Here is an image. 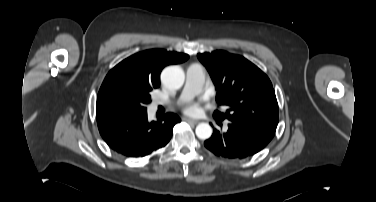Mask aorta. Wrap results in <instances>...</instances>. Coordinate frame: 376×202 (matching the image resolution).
Here are the masks:
<instances>
[{"label":"aorta","mask_w":376,"mask_h":202,"mask_svg":"<svg viewBox=\"0 0 376 202\" xmlns=\"http://www.w3.org/2000/svg\"><path fill=\"white\" fill-rule=\"evenodd\" d=\"M161 80L169 89H179L185 80L184 71L179 66H169L162 71ZM196 135L206 140L212 135V128L208 123H200L196 127Z\"/></svg>","instance_id":"1"}]
</instances>
